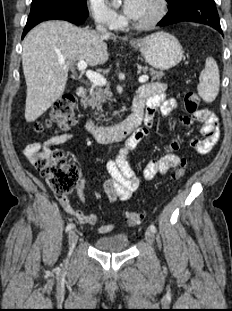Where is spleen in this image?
Listing matches in <instances>:
<instances>
[{"label":"spleen","instance_id":"spleen-1","mask_svg":"<svg viewBox=\"0 0 232 311\" xmlns=\"http://www.w3.org/2000/svg\"><path fill=\"white\" fill-rule=\"evenodd\" d=\"M220 77L219 68L212 57H207L205 68L200 74L197 87L199 96L207 103L213 102L219 92Z\"/></svg>","mask_w":232,"mask_h":311}]
</instances>
